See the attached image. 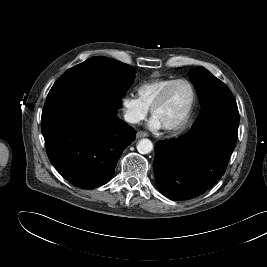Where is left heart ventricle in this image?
Returning <instances> with one entry per match:
<instances>
[{"label": "left heart ventricle", "mask_w": 267, "mask_h": 267, "mask_svg": "<svg viewBox=\"0 0 267 267\" xmlns=\"http://www.w3.org/2000/svg\"><path fill=\"white\" fill-rule=\"evenodd\" d=\"M192 98L191 89L184 83L175 85L163 103L156 109L154 117L162 126L177 123L185 114Z\"/></svg>", "instance_id": "left-heart-ventricle-1"}]
</instances>
